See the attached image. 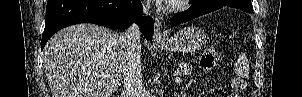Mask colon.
Instances as JSON below:
<instances>
[{"label":"colon","mask_w":302,"mask_h":97,"mask_svg":"<svg viewBox=\"0 0 302 97\" xmlns=\"http://www.w3.org/2000/svg\"><path fill=\"white\" fill-rule=\"evenodd\" d=\"M218 61V52L215 48L209 47L205 49L200 58V67L204 71L212 70ZM231 87L234 94L231 97H239L238 93L246 89V82L243 78L234 77L231 81Z\"/></svg>","instance_id":"5ec220e1"}]
</instances>
